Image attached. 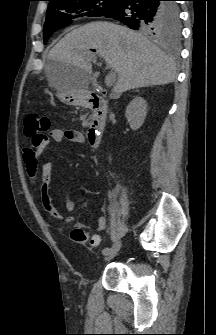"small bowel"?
I'll return each mask as SVG.
<instances>
[{
  "mask_svg": "<svg viewBox=\"0 0 216 335\" xmlns=\"http://www.w3.org/2000/svg\"><path fill=\"white\" fill-rule=\"evenodd\" d=\"M52 139L57 143H61L64 141H70L74 143L82 144L85 142V137L82 132L72 129H52L49 132V135L40 141L36 146H32L26 148L24 150V164L27 171L28 176L31 179H34L37 174V162L41 153L44 151L46 146L49 144V140ZM54 176L53 164L51 161H46L42 165V177L43 183L40 188V196L43 203L44 208L48 211V213L55 218L56 220H62L63 216L61 212L57 209V207L53 204L50 195H49V187L52 183ZM64 199L66 202V208L71 211L74 209V201L67 195H64ZM67 223L72 228H85L86 224L77 222L73 217L67 218ZM106 228V220L103 217H99L96 220V231L97 233L102 232ZM92 238L99 240V235L95 234ZM96 246V245H91Z\"/></svg>",
  "mask_w": 216,
  "mask_h": 335,
  "instance_id": "obj_1",
  "label": "small bowel"
}]
</instances>
